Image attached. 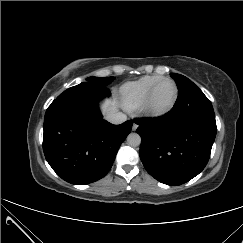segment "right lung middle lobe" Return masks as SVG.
<instances>
[{
  "instance_id": "1",
  "label": "right lung middle lobe",
  "mask_w": 243,
  "mask_h": 243,
  "mask_svg": "<svg viewBox=\"0 0 243 243\" xmlns=\"http://www.w3.org/2000/svg\"><path fill=\"white\" fill-rule=\"evenodd\" d=\"M86 80L94 85L107 86L114 80V77H89Z\"/></svg>"
}]
</instances>
